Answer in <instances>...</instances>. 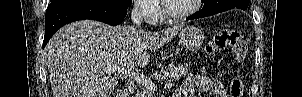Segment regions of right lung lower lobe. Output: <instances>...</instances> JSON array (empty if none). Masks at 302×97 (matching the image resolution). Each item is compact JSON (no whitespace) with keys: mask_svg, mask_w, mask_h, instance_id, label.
Instances as JSON below:
<instances>
[{"mask_svg":"<svg viewBox=\"0 0 302 97\" xmlns=\"http://www.w3.org/2000/svg\"><path fill=\"white\" fill-rule=\"evenodd\" d=\"M127 8L107 0H69L50 3L45 16L43 48L52 35L63 25L83 19H93L112 26L120 24Z\"/></svg>","mask_w":302,"mask_h":97,"instance_id":"right-lung-lower-lobe-1","label":"right lung lower lobe"}]
</instances>
